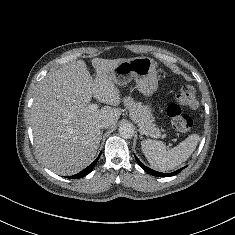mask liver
<instances>
[{
	"instance_id": "1",
	"label": "liver",
	"mask_w": 235,
	"mask_h": 235,
	"mask_svg": "<svg viewBox=\"0 0 235 235\" xmlns=\"http://www.w3.org/2000/svg\"><path fill=\"white\" fill-rule=\"evenodd\" d=\"M123 59L94 58L93 80L86 63L71 62L48 73L37 85L31 107L34 142L44 164L59 175H72L88 166L97 153L100 123L113 127L119 117L120 94L112 70ZM111 106L94 111L91 99Z\"/></svg>"
}]
</instances>
